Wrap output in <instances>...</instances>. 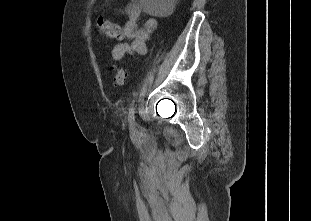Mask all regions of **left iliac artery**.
Listing matches in <instances>:
<instances>
[{"label":"left iliac artery","instance_id":"obj_1","mask_svg":"<svg viewBox=\"0 0 311 221\" xmlns=\"http://www.w3.org/2000/svg\"><path fill=\"white\" fill-rule=\"evenodd\" d=\"M128 121L131 126L135 125V100L132 101L131 106L129 108Z\"/></svg>","mask_w":311,"mask_h":221}]
</instances>
